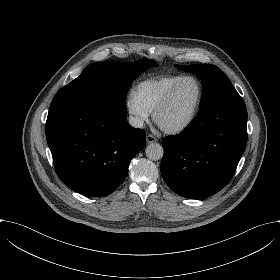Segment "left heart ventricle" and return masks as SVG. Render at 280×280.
<instances>
[{"label":"left heart ventricle","instance_id":"b2bd125f","mask_svg":"<svg viewBox=\"0 0 280 280\" xmlns=\"http://www.w3.org/2000/svg\"><path fill=\"white\" fill-rule=\"evenodd\" d=\"M200 88L195 80H187L174 95L167 110L160 116L163 126H170L186 120L195 110Z\"/></svg>","mask_w":280,"mask_h":280}]
</instances>
